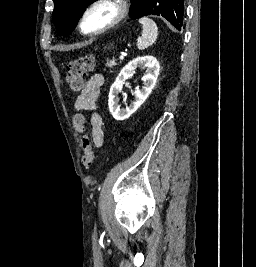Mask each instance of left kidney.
<instances>
[{"mask_svg": "<svg viewBox=\"0 0 256 267\" xmlns=\"http://www.w3.org/2000/svg\"><path fill=\"white\" fill-rule=\"evenodd\" d=\"M137 68H147V72L142 78V90H135V92H132L135 100L131 102L130 106H127L126 110H120L117 96L120 94L123 84H125L128 78H131L133 72H135ZM159 72L160 64L154 56H139V58H135V60H132V62L124 66L114 84H112L109 92L108 106L115 120H126V118H129L131 114H134V112L142 106L143 102H145L146 98L151 94Z\"/></svg>", "mask_w": 256, "mask_h": 267, "instance_id": "obj_1", "label": "left kidney"}]
</instances>
